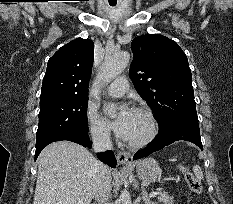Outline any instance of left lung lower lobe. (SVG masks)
<instances>
[{"label":"left lung lower lobe","instance_id":"left-lung-lower-lobe-1","mask_svg":"<svg viewBox=\"0 0 233 204\" xmlns=\"http://www.w3.org/2000/svg\"><path fill=\"white\" fill-rule=\"evenodd\" d=\"M178 140L192 142L203 150L198 122L174 121L166 127H159V134L146 148L138 151L133 160L146 157Z\"/></svg>","mask_w":233,"mask_h":204}]
</instances>
